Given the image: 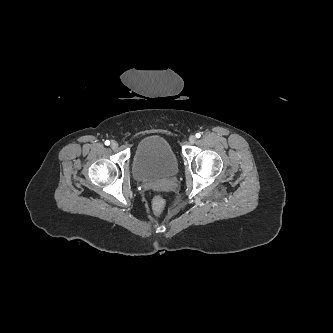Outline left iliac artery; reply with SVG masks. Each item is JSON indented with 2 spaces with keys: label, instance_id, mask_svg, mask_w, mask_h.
Segmentation results:
<instances>
[{
  "label": "left iliac artery",
  "instance_id": "left-iliac-artery-1",
  "mask_svg": "<svg viewBox=\"0 0 333 333\" xmlns=\"http://www.w3.org/2000/svg\"><path fill=\"white\" fill-rule=\"evenodd\" d=\"M197 138H200L201 134L200 133H196L195 135Z\"/></svg>",
  "mask_w": 333,
  "mask_h": 333
}]
</instances>
